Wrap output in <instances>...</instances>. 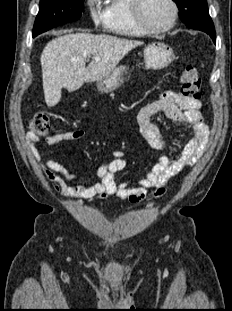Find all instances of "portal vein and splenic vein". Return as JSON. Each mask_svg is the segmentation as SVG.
<instances>
[{
  "instance_id": "obj_1",
  "label": "portal vein and splenic vein",
  "mask_w": 232,
  "mask_h": 311,
  "mask_svg": "<svg viewBox=\"0 0 232 311\" xmlns=\"http://www.w3.org/2000/svg\"><path fill=\"white\" fill-rule=\"evenodd\" d=\"M94 59H95L96 61H99V60H100V57H94Z\"/></svg>"
}]
</instances>
